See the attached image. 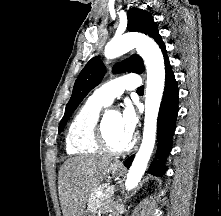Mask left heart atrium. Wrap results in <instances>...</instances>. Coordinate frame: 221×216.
Wrapping results in <instances>:
<instances>
[{
    "label": "left heart atrium",
    "instance_id": "obj_1",
    "mask_svg": "<svg viewBox=\"0 0 221 216\" xmlns=\"http://www.w3.org/2000/svg\"><path fill=\"white\" fill-rule=\"evenodd\" d=\"M119 116L124 132L132 137L137 126V114L134 108L130 105L126 106Z\"/></svg>",
    "mask_w": 221,
    "mask_h": 216
}]
</instances>
